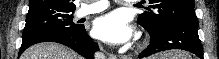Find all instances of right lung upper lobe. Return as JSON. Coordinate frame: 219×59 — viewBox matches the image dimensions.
I'll return each mask as SVG.
<instances>
[{
  "label": "right lung upper lobe",
  "instance_id": "1",
  "mask_svg": "<svg viewBox=\"0 0 219 59\" xmlns=\"http://www.w3.org/2000/svg\"><path fill=\"white\" fill-rule=\"evenodd\" d=\"M76 6L73 4L72 0H30L29 1V11L37 10H61L74 12Z\"/></svg>",
  "mask_w": 219,
  "mask_h": 59
}]
</instances>
